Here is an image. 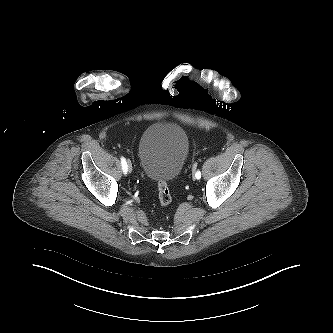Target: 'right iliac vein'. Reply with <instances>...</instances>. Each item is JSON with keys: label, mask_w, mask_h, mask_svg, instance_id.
<instances>
[{"label": "right iliac vein", "mask_w": 333, "mask_h": 333, "mask_svg": "<svg viewBox=\"0 0 333 333\" xmlns=\"http://www.w3.org/2000/svg\"><path fill=\"white\" fill-rule=\"evenodd\" d=\"M127 169H128L129 172L132 171V164H131V161H129V160L127 162Z\"/></svg>", "instance_id": "63e3f726"}]
</instances>
